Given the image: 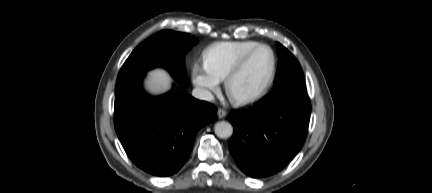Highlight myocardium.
Listing matches in <instances>:
<instances>
[{
    "mask_svg": "<svg viewBox=\"0 0 432 193\" xmlns=\"http://www.w3.org/2000/svg\"><path fill=\"white\" fill-rule=\"evenodd\" d=\"M262 48H266L268 49L271 54H272V69L271 72L269 74V77L267 79L266 84L264 85V87L257 92L254 95L248 96V97H237L232 93L231 90V83L233 81V79L241 72V70L244 68V66L246 65V63L248 62V60L251 58V56L258 51L259 49ZM276 73H277V55L275 50L268 44H263L260 43L258 45H256L255 47H253L252 49H250L249 51H247L235 64L234 66L230 69V71L227 73L225 79H224V86H225V91L226 94L229 98V100L231 101L232 104H234L235 106L238 107H246V106H250L258 101H260L261 99H263L268 92L270 91L275 77H276Z\"/></svg>",
    "mask_w": 432,
    "mask_h": 193,
    "instance_id": "obj_1",
    "label": "myocardium"
}]
</instances>
